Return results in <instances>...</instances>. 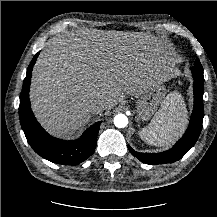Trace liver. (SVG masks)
Segmentation results:
<instances>
[{
	"instance_id": "1",
	"label": "liver",
	"mask_w": 217,
	"mask_h": 217,
	"mask_svg": "<svg viewBox=\"0 0 217 217\" xmlns=\"http://www.w3.org/2000/svg\"><path fill=\"white\" fill-rule=\"evenodd\" d=\"M140 44L97 31L49 39L33 68L30 89L32 109L42 126L67 137L90 120L91 102L103 101L104 110H110L124 94L138 96L143 88L157 84L153 70L164 71L174 61L156 57L144 65Z\"/></svg>"
}]
</instances>
